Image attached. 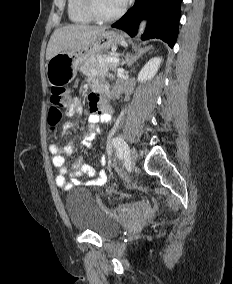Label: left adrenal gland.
Here are the masks:
<instances>
[{
  "label": "left adrenal gland",
  "mask_w": 233,
  "mask_h": 284,
  "mask_svg": "<svg viewBox=\"0 0 233 284\" xmlns=\"http://www.w3.org/2000/svg\"><path fill=\"white\" fill-rule=\"evenodd\" d=\"M151 49H152V47L148 46L145 49L140 50L137 55L127 57V59L124 63H126L128 66H131L134 63V61H136L141 55L150 51Z\"/></svg>",
  "instance_id": "a2214340"
}]
</instances>
